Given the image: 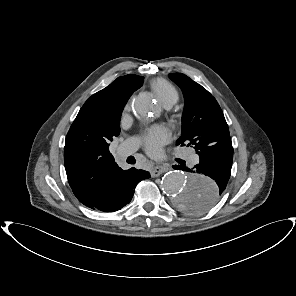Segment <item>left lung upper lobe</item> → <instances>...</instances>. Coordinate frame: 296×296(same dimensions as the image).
Instances as JSON below:
<instances>
[{"label": "left lung upper lobe", "mask_w": 296, "mask_h": 296, "mask_svg": "<svg viewBox=\"0 0 296 296\" xmlns=\"http://www.w3.org/2000/svg\"><path fill=\"white\" fill-rule=\"evenodd\" d=\"M169 77L181 88L185 99L182 132L176 144L193 146L199 156L218 148V143L230 138V133L216 99L182 73H172ZM192 199L185 202L184 209Z\"/></svg>", "instance_id": "5c2ea615"}]
</instances>
